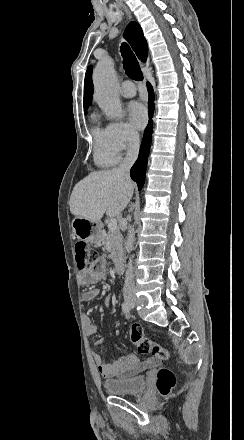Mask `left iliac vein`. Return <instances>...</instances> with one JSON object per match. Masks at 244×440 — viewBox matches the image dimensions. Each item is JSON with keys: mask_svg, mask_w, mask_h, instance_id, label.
Listing matches in <instances>:
<instances>
[{"mask_svg": "<svg viewBox=\"0 0 244 440\" xmlns=\"http://www.w3.org/2000/svg\"><path fill=\"white\" fill-rule=\"evenodd\" d=\"M135 305H136L135 298L132 297V298H131L130 306L133 308V307H135Z\"/></svg>", "mask_w": 244, "mask_h": 440, "instance_id": "1", "label": "left iliac vein"}]
</instances>
